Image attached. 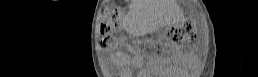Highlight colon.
<instances>
[{"label":"colon","instance_id":"1","mask_svg":"<svg viewBox=\"0 0 258 77\" xmlns=\"http://www.w3.org/2000/svg\"><path fill=\"white\" fill-rule=\"evenodd\" d=\"M120 13L116 10H105L103 21L101 23V33L108 37L120 30ZM195 37L194 23L190 20H185L180 26L173 27L167 32V38L174 43H180Z\"/></svg>","mask_w":258,"mask_h":77}]
</instances>
